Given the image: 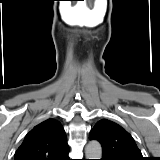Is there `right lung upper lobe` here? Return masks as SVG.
<instances>
[{
	"mask_svg": "<svg viewBox=\"0 0 160 160\" xmlns=\"http://www.w3.org/2000/svg\"><path fill=\"white\" fill-rule=\"evenodd\" d=\"M68 153L63 126L55 119H47L25 136L14 160H65Z\"/></svg>",
	"mask_w": 160,
	"mask_h": 160,
	"instance_id": "1",
	"label": "right lung upper lobe"
}]
</instances>
